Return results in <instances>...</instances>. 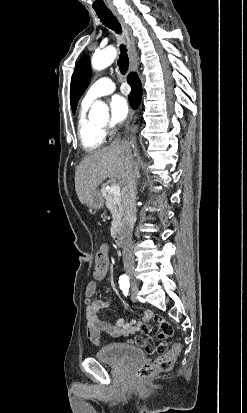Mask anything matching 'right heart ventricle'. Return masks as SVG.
<instances>
[{
    "label": "right heart ventricle",
    "mask_w": 247,
    "mask_h": 413,
    "mask_svg": "<svg viewBox=\"0 0 247 413\" xmlns=\"http://www.w3.org/2000/svg\"><path fill=\"white\" fill-rule=\"evenodd\" d=\"M88 106V104H84ZM78 138L82 148L89 151H102L101 147L104 142V132L97 127L92 121L81 116L78 124Z\"/></svg>",
    "instance_id": "1"
}]
</instances>
